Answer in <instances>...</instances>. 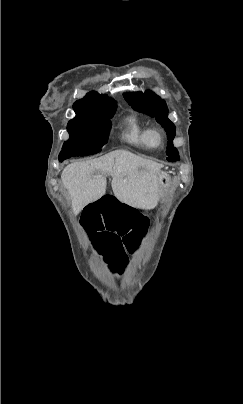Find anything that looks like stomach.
<instances>
[{
	"mask_svg": "<svg viewBox=\"0 0 243 404\" xmlns=\"http://www.w3.org/2000/svg\"><path fill=\"white\" fill-rule=\"evenodd\" d=\"M158 177H159L160 184H164L165 181L167 180V174L164 173L163 171L159 172Z\"/></svg>",
	"mask_w": 243,
	"mask_h": 404,
	"instance_id": "stomach-1",
	"label": "stomach"
}]
</instances>
